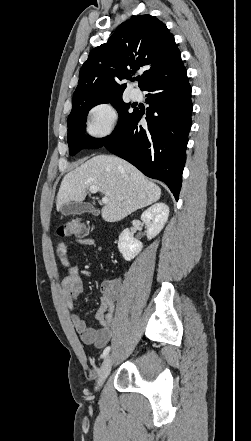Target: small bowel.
Returning <instances> with one entry per match:
<instances>
[{
	"mask_svg": "<svg viewBox=\"0 0 251 441\" xmlns=\"http://www.w3.org/2000/svg\"><path fill=\"white\" fill-rule=\"evenodd\" d=\"M78 243L85 247L94 246V240L91 238L79 239ZM57 256L65 269L61 290L75 331L84 344L94 345L97 348L104 347L110 341L115 327V302L121 289V281L107 279L102 282L100 303L95 314L100 326L98 328L89 327L76 312V301L84 291L81 270L78 265L70 262L65 243L58 244Z\"/></svg>",
	"mask_w": 251,
	"mask_h": 441,
	"instance_id": "c3829d8e",
	"label": "small bowel"
}]
</instances>
